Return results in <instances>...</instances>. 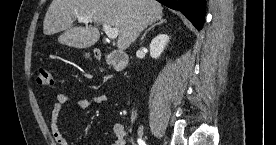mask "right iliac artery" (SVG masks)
Masks as SVG:
<instances>
[{"instance_id":"obj_1","label":"right iliac artery","mask_w":276,"mask_h":145,"mask_svg":"<svg viewBox=\"0 0 276 145\" xmlns=\"http://www.w3.org/2000/svg\"><path fill=\"white\" fill-rule=\"evenodd\" d=\"M137 142L139 145H145V142L141 138H138Z\"/></svg>"}]
</instances>
